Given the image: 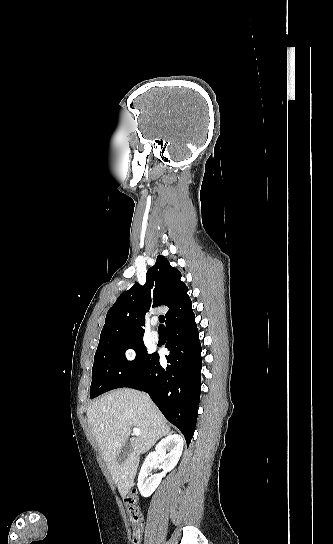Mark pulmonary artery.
Here are the masks:
<instances>
[{
	"instance_id": "1",
	"label": "pulmonary artery",
	"mask_w": 333,
	"mask_h": 544,
	"mask_svg": "<svg viewBox=\"0 0 333 544\" xmlns=\"http://www.w3.org/2000/svg\"><path fill=\"white\" fill-rule=\"evenodd\" d=\"M151 323H152V325L154 326V325L157 324V321L154 319V320H152ZM151 339H152L154 342L158 341V339H159V333H158L156 330H153V331L151 332Z\"/></svg>"
}]
</instances>
